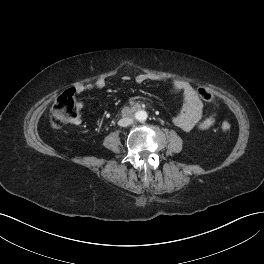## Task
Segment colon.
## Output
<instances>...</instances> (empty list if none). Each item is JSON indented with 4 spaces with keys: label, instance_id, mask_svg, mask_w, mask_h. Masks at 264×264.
<instances>
[{
    "label": "colon",
    "instance_id": "colon-1",
    "mask_svg": "<svg viewBox=\"0 0 264 264\" xmlns=\"http://www.w3.org/2000/svg\"><path fill=\"white\" fill-rule=\"evenodd\" d=\"M198 95L207 102L214 101V95L206 88L200 87L197 89ZM79 112L76 105L74 91L67 90L62 93L56 100L51 115V124L55 128H61L67 123L74 122L78 118ZM215 123L213 116H208L199 122L198 127L200 129H208ZM232 125L228 121H224L221 124L223 131H229Z\"/></svg>",
    "mask_w": 264,
    "mask_h": 264
}]
</instances>
